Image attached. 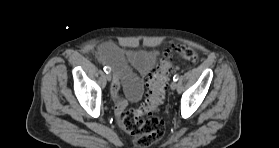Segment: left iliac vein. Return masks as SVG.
<instances>
[{
  "mask_svg": "<svg viewBox=\"0 0 279 148\" xmlns=\"http://www.w3.org/2000/svg\"><path fill=\"white\" fill-rule=\"evenodd\" d=\"M177 88V83L175 81H172L170 84V89L175 90Z\"/></svg>",
  "mask_w": 279,
  "mask_h": 148,
  "instance_id": "obj_1",
  "label": "left iliac vein"
}]
</instances>
